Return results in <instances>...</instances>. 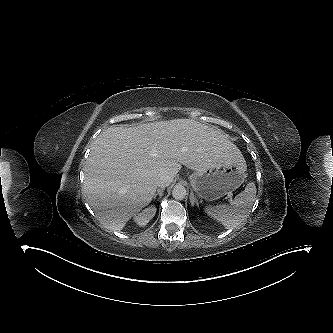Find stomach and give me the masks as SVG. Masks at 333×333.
<instances>
[{"instance_id":"1","label":"stomach","mask_w":333,"mask_h":333,"mask_svg":"<svg viewBox=\"0 0 333 333\" xmlns=\"http://www.w3.org/2000/svg\"><path fill=\"white\" fill-rule=\"evenodd\" d=\"M246 163L241 157L228 164L195 171L190 175L193 191L207 201L217 200L236 190L246 177Z\"/></svg>"}]
</instances>
